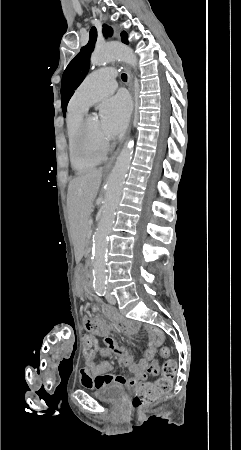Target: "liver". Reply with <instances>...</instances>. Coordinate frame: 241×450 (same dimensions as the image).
I'll return each instance as SVG.
<instances>
[{
    "label": "liver",
    "instance_id": "obj_1",
    "mask_svg": "<svg viewBox=\"0 0 241 450\" xmlns=\"http://www.w3.org/2000/svg\"><path fill=\"white\" fill-rule=\"evenodd\" d=\"M102 176L103 168H99V170H92L90 174H82L71 180L68 186L67 204L72 226L87 224L93 212V202L98 194Z\"/></svg>",
    "mask_w": 241,
    "mask_h": 450
}]
</instances>
